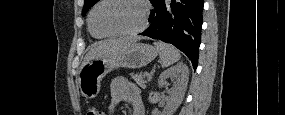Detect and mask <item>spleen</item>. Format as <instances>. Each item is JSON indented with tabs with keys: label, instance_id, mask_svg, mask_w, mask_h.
Wrapping results in <instances>:
<instances>
[{
	"label": "spleen",
	"instance_id": "spleen-1",
	"mask_svg": "<svg viewBox=\"0 0 285 115\" xmlns=\"http://www.w3.org/2000/svg\"><path fill=\"white\" fill-rule=\"evenodd\" d=\"M156 49L159 52L160 63L163 68H166L180 60L179 51L170 44L164 42H155Z\"/></svg>",
	"mask_w": 285,
	"mask_h": 115
}]
</instances>
